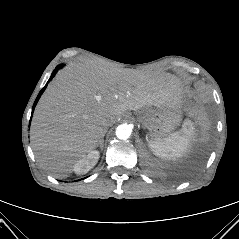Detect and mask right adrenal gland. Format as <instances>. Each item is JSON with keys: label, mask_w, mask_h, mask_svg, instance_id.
<instances>
[{"label": "right adrenal gland", "mask_w": 239, "mask_h": 239, "mask_svg": "<svg viewBox=\"0 0 239 239\" xmlns=\"http://www.w3.org/2000/svg\"><path fill=\"white\" fill-rule=\"evenodd\" d=\"M103 143H104V139L102 137V139H100L99 143L97 144V147H100L101 151L103 150Z\"/></svg>", "instance_id": "1"}]
</instances>
